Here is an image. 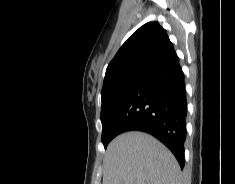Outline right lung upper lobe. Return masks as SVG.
I'll return each mask as SVG.
<instances>
[{
    "instance_id": "obj_1",
    "label": "right lung upper lobe",
    "mask_w": 235,
    "mask_h": 184,
    "mask_svg": "<svg viewBox=\"0 0 235 184\" xmlns=\"http://www.w3.org/2000/svg\"><path fill=\"white\" fill-rule=\"evenodd\" d=\"M174 53L166 30L158 22L146 23L122 45L108 65L101 95L128 79L145 77Z\"/></svg>"
}]
</instances>
